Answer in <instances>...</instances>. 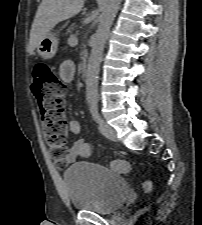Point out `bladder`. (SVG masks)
I'll list each match as a JSON object with an SVG mask.
<instances>
[{
	"label": "bladder",
	"mask_w": 202,
	"mask_h": 225,
	"mask_svg": "<svg viewBox=\"0 0 202 225\" xmlns=\"http://www.w3.org/2000/svg\"><path fill=\"white\" fill-rule=\"evenodd\" d=\"M63 181L74 210L101 215L114 213L130 189L123 175L90 163L72 165L64 172Z\"/></svg>",
	"instance_id": "31cf9c89"
}]
</instances>
